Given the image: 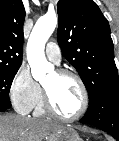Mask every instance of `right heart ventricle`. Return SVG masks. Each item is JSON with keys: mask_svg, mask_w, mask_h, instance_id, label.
<instances>
[{"mask_svg": "<svg viewBox=\"0 0 119 141\" xmlns=\"http://www.w3.org/2000/svg\"><path fill=\"white\" fill-rule=\"evenodd\" d=\"M34 114L36 116H43L46 114V110L44 108L43 98L42 95L40 96L37 104L34 107Z\"/></svg>", "mask_w": 119, "mask_h": 141, "instance_id": "right-heart-ventricle-1", "label": "right heart ventricle"}]
</instances>
